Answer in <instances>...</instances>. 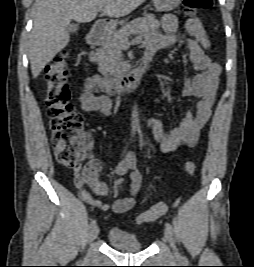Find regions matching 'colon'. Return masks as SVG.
Masks as SVG:
<instances>
[{
    "instance_id": "1",
    "label": "colon",
    "mask_w": 254,
    "mask_h": 267,
    "mask_svg": "<svg viewBox=\"0 0 254 267\" xmlns=\"http://www.w3.org/2000/svg\"><path fill=\"white\" fill-rule=\"evenodd\" d=\"M212 4L213 0H183L184 12L188 15L207 10ZM68 55V51L63 50L45 69L46 105L56 158L61 164L75 169L91 157V141L83 133L82 114L71 103V92L67 83ZM183 170L192 175L195 171L194 163L186 161ZM167 210L166 203H158L141 213L137 222H152L163 216Z\"/></svg>"
}]
</instances>
